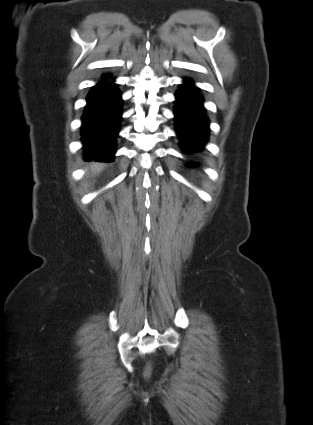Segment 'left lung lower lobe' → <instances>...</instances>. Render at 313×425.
<instances>
[{
	"instance_id": "obj_1",
	"label": "left lung lower lobe",
	"mask_w": 313,
	"mask_h": 425,
	"mask_svg": "<svg viewBox=\"0 0 313 425\" xmlns=\"http://www.w3.org/2000/svg\"><path fill=\"white\" fill-rule=\"evenodd\" d=\"M175 125L180 145L187 151H199L207 141L209 121L203 98L191 80L185 79L176 93ZM195 167V163H190Z\"/></svg>"
}]
</instances>
